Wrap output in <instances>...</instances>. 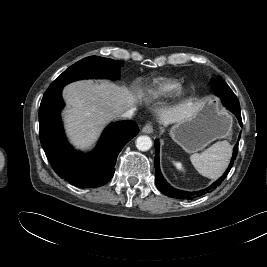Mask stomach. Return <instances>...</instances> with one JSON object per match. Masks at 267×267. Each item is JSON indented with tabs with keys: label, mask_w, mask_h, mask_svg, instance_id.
I'll return each mask as SVG.
<instances>
[{
	"label": "stomach",
	"mask_w": 267,
	"mask_h": 267,
	"mask_svg": "<svg viewBox=\"0 0 267 267\" xmlns=\"http://www.w3.org/2000/svg\"><path fill=\"white\" fill-rule=\"evenodd\" d=\"M232 116L217 101L206 99L191 116L170 129L171 138L187 153L203 150L211 142L232 133Z\"/></svg>",
	"instance_id": "stomach-1"
}]
</instances>
